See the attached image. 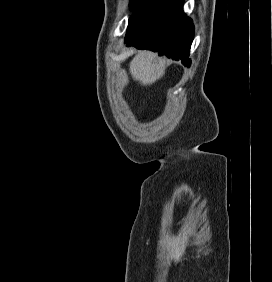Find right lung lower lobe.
Returning a JSON list of instances; mask_svg holds the SVG:
<instances>
[{
  "label": "right lung lower lobe",
  "mask_w": 272,
  "mask_h": 282,
  "mask_svg": "<svg viewBox=\"0 0 272 282\" xmlns=\"http://www.w3.org/2000/svg\"><path fill=\"white\" fill-rule=\"evenodd\" d=\"M184 0H142L129 18L125 42L190 65L194 37L191 19L184 14Z\"/></svg>",
  "instance_id": "1"
}]
</instances>
